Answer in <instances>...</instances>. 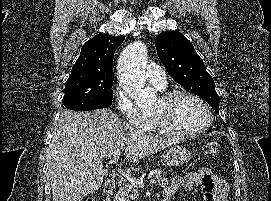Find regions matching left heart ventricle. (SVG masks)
<instances>
[{"instance_id": "left-heart-ventricle-1", "label": "left heart ventricle", "mask_w": 271, "mask_h": 201, "mask_svg": "<svg viewBox=\"0 0 271 201\" xmlns=\"http://www.w3.org/2000/svg\"><path fill=\"white\" fill-rule=\"evenodd\" d=\"M154 113L168 117L176 126L186 130L199 129L209 121L204 107L190 98H179L171 103L158 99Z\"/></svg>"}]
</instances>
